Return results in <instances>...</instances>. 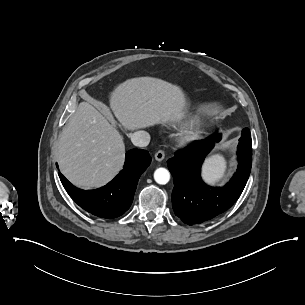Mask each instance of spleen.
Here are the masks:
<instances>
[{
	"label": "spleen",
	"mask_w": 305,
	"mask_h": 305,
	"mask_svg": "<svg viewBox=\"0 0 305 305\" xmlns=\"http://www.w3.org/2000/svg\"><path fill=\"white\" fill-rule=\"evenodd\" d=\"M223 160L219 156H215L210 158L207 161L206 167H205V176L209 181H215L216 179H221L226 174L224 169Z\"/></svg>",
	"instance_id": "1"
}]
</instances>
